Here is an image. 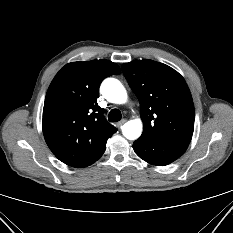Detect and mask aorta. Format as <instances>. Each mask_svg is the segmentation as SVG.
<instances>
[{"label":"aorta","mask_w":233,"mask_h":233,"mask_svg":"<svg viewBox=\"0 0 233 233\" xmlns=\"http://www.w3.org/2000/svg\"><path fill=\"white\" fill-rule=\"evenodd\" d=\"M101 92L111 103L122 104L127 100V92L122 83L115 78H107L102 82ZM142 121L130 120L123 125L122 133L129 140H136L142 133Z\"/></svg>","instance_id":"762f6f07"}]
</instances>
